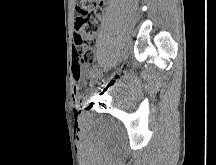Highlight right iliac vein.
I'll use <instances>...</instances> for the list:
<instances>
[{
  "instance_id": "63e3f726",
  "label": "right iliac vein",
  "mask_w": 216,
  "mask_h": 165,
  "mask_svg": "<svg viewBox=\"0 0 216 165\" xmlns=\"http://www.w3.org/2000/svg\"><path fill=\"white\" fill-rule=\"evenodd\" d=\"M100 76L99 73H96L94 76H93V79L91 80L93 83L98 79V77Z\"/></svg>"
}]
</instances>
